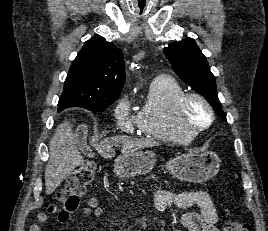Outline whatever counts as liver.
Instances as JSON below:
<instances>
[{
  "mask_svg": "<svg viewBox=\"0 0 268 231\" xmlns=\"http://www.w3.org/2000/svg\"><path fill=\"white\" fill-rule=\"evenodd\" d=\"M73 124L65 121L58 125L49 143V161L45 168L46 194L53 193L77 166L84 164V159L78 151V144L85 139L87 128L81 126L83 138L73 131ZM122 144V153H133L141 148L153 147L154 141L137 139L129 136H113L94 144L97 152L105 157L114 156V147Z\"/></svg>",
  "mask_w": 268,
  "mask_h": 231,
  "instance_id": "6515ba94",
  "label": "liver"
}]
</instances>
